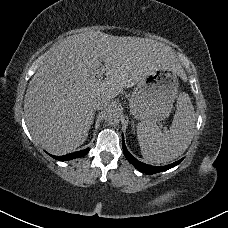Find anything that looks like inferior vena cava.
Segmentation results:
<instances>
[{
  "instance_id": "1",
  "label": "inferior vena cava",
  "mask_w": 228,
  "mask_h": 228,
  "mask_svg": "<svg viewBox=\"0 0 228 228\" xmlns=\"http://www.w3.org/2000/svg\"><path fill=\"white\" fill-rule=\"evenodd\" d=\"M90 103L93 110H101L107 105V101L105 99H102L96 95L91 98Z\"/></svg>"
}]
</instances>
